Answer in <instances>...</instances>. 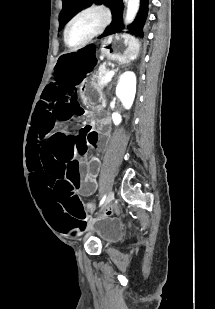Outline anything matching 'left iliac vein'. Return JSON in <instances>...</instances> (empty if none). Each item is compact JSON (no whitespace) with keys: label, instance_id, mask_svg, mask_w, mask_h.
<instances>
[{"label":"left iliac vein","instance_id":"left-iliac-vein-1","mask_svg":"<svg viewBox=\"0 0 215 309\" xmlns=\"http://www.w3.org/2000/svg\"><path fill=\"white\" fill-rule=\"evenodd\" d=\"M113 199H114V191H111V192L108 194L107 201H106V203H105L104 206H103L102 214L105 213V212L108 210V204H109Z\"/></svg>","mask_w":215,"mask_h":309}]
</instances>
